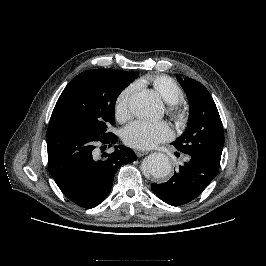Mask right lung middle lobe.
Wrapping results in <instances>:
<instances>
[{
  "mask_svg": "<svg viewBox=\"0 0 266 266\" xmlns=\"http://www.w3.org/2000/svg\"><path fill=\"white\" fill-rule=\"evenodd\" d=\"M137 76L136 72L113 69L80 73L60 95L49 127L74 129L96 137L110 134L108 126L115 122L117 97Z\"/></svg>",
  "mask_w": 266,
  "mask_h": 266,
  "instance_id": "right-lung-middle-lobe-1",
  "label": "right lung middle lobe"
}]
</instances>
